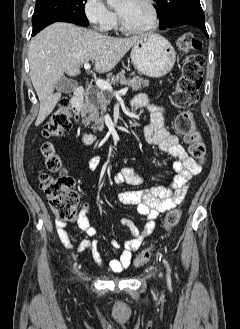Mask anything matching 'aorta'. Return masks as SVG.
I'll return each instance as SVG.
<instances>
[{
	"instance_id": "aorta-1",
	"label": "aorta",
	"mask_w": 240,
	"mask_h": 329,
	"mask_svg": "<svg viewBox=\"0 0 240 329\" xmlns=\"http://www.w3.org/2000/svg\"><path fill=\"white\" fill-rule=\"evenodd\" d=\"M123 0H107V3L110 5V6H116L118 4H120Z\"/></svg>"
}]
</instances>
